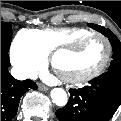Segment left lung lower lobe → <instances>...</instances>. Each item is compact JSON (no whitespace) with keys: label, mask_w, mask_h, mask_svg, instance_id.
<instances>
[{"label":"left lung lower lobe","mask_w":121,"mask_h":121,"mask_svg":"<svg viewBox=\"0 0 121 121\" xmlns=\"http://www.w3.org/2000/svg\"><path fill=\"white\" fill-rule=\"evenodd\" d=\"M82 89H70L65 107L56 111L60 121H109L121 103V73L108 71Z\"/></svg>","instance_id":"1"}]
</instances>
